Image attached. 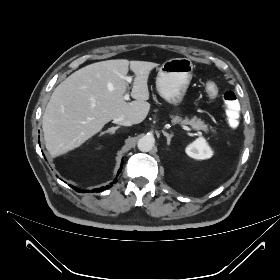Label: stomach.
Wrapping results in <instances>:
<instances>
[{"instance_id": "stomach-1", "label": "stomach", "mask_w": 280, "mask_h": 280, "mask_svg": "<svg viewBox=\"0 0 280 280\" xmlns=\"http://www.w3.org/2000/svg\"><path fill=\"white\" fill-rule=\"evenodd\" d=\"M193 75V64L189 58H172L165 61L156 78L159 95L176 111L181 104Z\"/></svg>"}]
</instances>
